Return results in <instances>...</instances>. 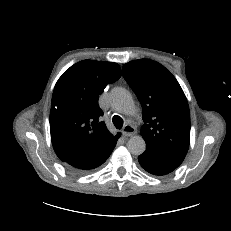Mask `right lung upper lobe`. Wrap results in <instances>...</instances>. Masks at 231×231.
<instances>
[{
	"label": "right lung upper lobe",
	"instance_id": "obj_1",
	"mask_svg": "<svg viewBox=\"0 0 231 231\" xmlns=\"http://www.w3.org/2000/svg\"><path fill=\"white\" fill-rule=\"evenodd\" d=\"M120 76L117 63L83 60L59 78L52 95L50 131L60 160L96 153L119 137L101 120L98 98Z\"/></svg>",
	"mask_w": 231,
	"mask_h": 231
}]
</instances>
